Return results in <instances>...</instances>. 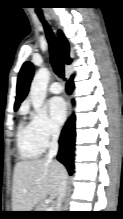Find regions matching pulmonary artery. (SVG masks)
<instances>
[{"label":"pulmonary artery","mask_w":123,"mask_h":219,"mask_svg":"<svg viewBox=\"0 0 123 219\" xmlns=\"http://www.w3.org/2000/svg\"><path fill=\"white\" fill-rule=\"evenodd\" d=\"M49 91L53 94H59L62 92V86L58 82H53L49 86Z\"/></svg>","instance_id":"obj_1"}]
</instances>
